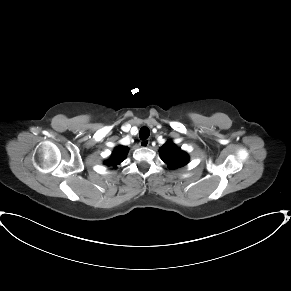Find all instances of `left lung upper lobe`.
I'll return each instance as SVG.
<instances>
[{
  "instance_id": "obj_1",
  "label": "left lung upper lobe",
  "mask_w": 291,
  "mask_h": 291,
  "mask_svg": "<svg viewBox=\"0 0 291 291\" xmlns=\"http://www.w3.org/2000/svg\"><path fill=\"white\" fill-rule=\"evenodd\" d=\"M161 159L170 169L182 167L188 163V155L178 148L172 141L166 142L160 148Z\"/></svg>"
}]
</instances>
